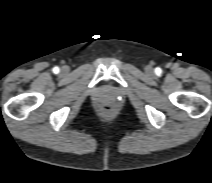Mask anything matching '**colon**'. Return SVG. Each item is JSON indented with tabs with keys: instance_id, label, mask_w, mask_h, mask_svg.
Instances as JSON below:
<instances>
[{
	"instance_id": "obj_1",
	"label": "colon",
	"mask_w": 212,
	"mask_h": 183,
	"mask_svg": "<svg viewBox=\"0 0 212 183\" xmlns=\"http://www.w3.org/2000/svg\"><path fill=\"white\" fill-rule=\"evenodd\" d=\"M103 109L106 113H110L112 111V106L107 104V105L104 106Z\"/></svg>"
}]
</instances>
